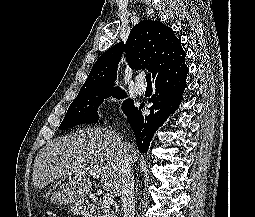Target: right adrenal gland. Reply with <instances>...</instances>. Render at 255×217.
<instances>
[{
	"instance_id": "right-adrenal-gland-1",
	"label": "right adrenal gland",
	"mask_w": 255,
	"mask_h": 217,
	"mask_svg": "<svg viewBox=\"0 0 255 217\" xmlns=\"http://www.w3.org/2000/svg\"><path fill=\"white\" fill-rule=\"evenodd\" d=\"M136 194H138V183L136 185Z\"/></svg>"
}]
</instances>
